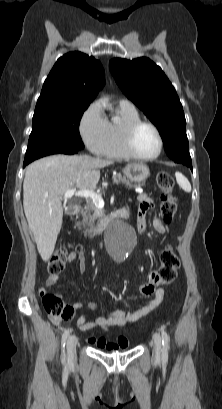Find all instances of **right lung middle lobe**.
I'll use <instances>...</instances> for the list:
<instances>
[{
  "instance_id": "dd1d6c3e",
  "label": "right lung middle lobe",
  "mask_w": 222,
  "mask_h": 409,
  "mask_svg": "<svg viewBox=\"0 0 222 409\" xmlns=\"http://www.w3.org/2000/svg\"><path fill=\"white\" fill-rule=\"evenodd\" d=\"M89 104H64L35 109L24 162L83 149L78 125Z\"/></svg>"
}]
</instances>
